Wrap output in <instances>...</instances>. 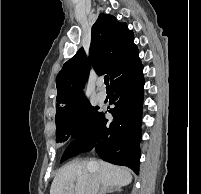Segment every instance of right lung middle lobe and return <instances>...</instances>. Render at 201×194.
<instances>
[{
  "label": "right lung middle lobe",
  "mask_w": 201,
  "mask_h": 194,
  "mask_svg": "<svg viewBox=\"0 0 201 194\" xmlns=\"http://www.w3.org/2000/svg\"><path fill=\"white\" fill-rule=\"evenodd\" d=\"M101 112L93 107L89 101L83 102L71 114L56 119V141L64 142L69 137L76 138L85 133L96 121ZM75 155L74 151L64 153L61 162Z\"/></svg>",
  "instance_id": "obj_1"
}]
</instances>
